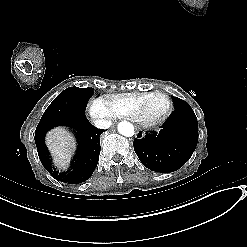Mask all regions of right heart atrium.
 Returning <instances> with one entry per match:
<instances>
[{"label":"right heart atrium","mask_w":247,"mask_h":247,"mask_svg":"<svg viewBox=\"0 0 247 247\" xmlns=\"http://www.w3.org/2000/svg\"><path fill=\"white\" fill-rule=\"evenodd\" d=\"M89 111L95 121H105L110 119L109 111L100 99H94L91 102Z\"/></svg>","instance_id":"right-heart-atrium-1"}]
</instances>
